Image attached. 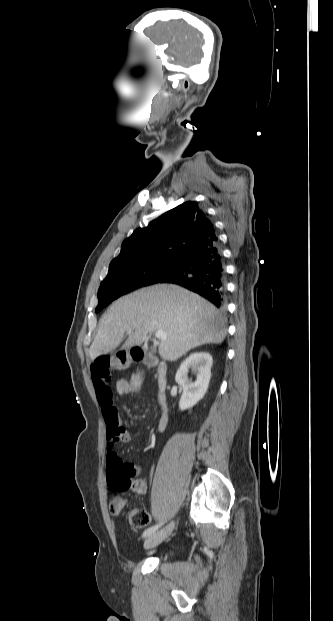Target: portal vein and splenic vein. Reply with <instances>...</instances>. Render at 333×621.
Wrapping results in <instances>:
<instances>
[{"label":"portal vein and splenic vein","mask_w":333,"mask_h":621,"mask_svg":"<svg viewBox=\"0 0 333 621\" xmlns=\"http://www.w3.org/2000/svg\"><path fill=\"white\" fill-rule=\"evenodd\" d=\"M128 333H129V334H131V333H132V330L130 329V330L128 331ZM155 337H156L157 339H166V334L164 333V331H163V330H157V331L155 332Z\"/></svg>","instance_id":"18ae733b"}]
</instances>
